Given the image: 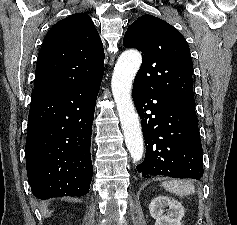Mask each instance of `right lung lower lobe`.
Returning a JSON list of instances; mask_svg holds the SVG:
<instances>
[{"label":"right lung lower lobe","instance_id":"98d812e1","mask_svg":"<svg viewBox=\"0 0 237 225\" xmlns=\"http://www.w3.org/2000/svg\"><path fill=\"white\" fill-rule=\"evenodd\" d=\"M101 80L62 97L31 101L26 168L35 197L83 196L89 192L94 110Z\"/></svg>","mask_w":237,"mask_h":225}]
</instances>
